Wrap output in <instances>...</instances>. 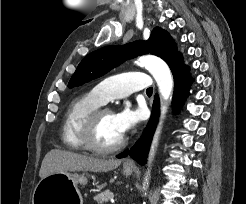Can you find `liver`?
I'll list each match as a JSON object with an SVG mask.
<instances>
[{
  "instance_id": "6515ba94",
  "label": "liver",
  "mask_w": 246,
  "mask_h": 204,
  "mask_svg": "<svg viewBox=\"0 0 246 204\" xmlns=\"http://www.w3.org/2000/svg\"><path fill=\"white\" fill-rule=\"evenodd\" d=\"M121 160L101 159L69 151L53 149L49 151L41 164L39 176L41 179L61 172L91 171L108 172L117 168Z\"/></svg>"
}]
</instances>
